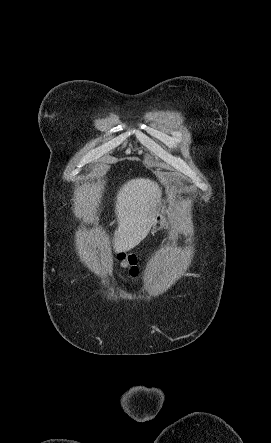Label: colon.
I'll list each match as a JSON object with an SVG mask.
<instances>
[{"label":"colon","mask_w":271,"mask_h":443,"mask_svg":"<svg viewBox=\"0 0 271 443\" xmlns=\"http://www.w3.org/2000/svg\"><path fill=\"white\" fill-rule=\"evenodd\" d=\"M118 260L121 262L122 267L127 271L128 275L135 277L138 273V259L133 253H120Z\"/></svg>","instance_id":"1"}]
</instances>
